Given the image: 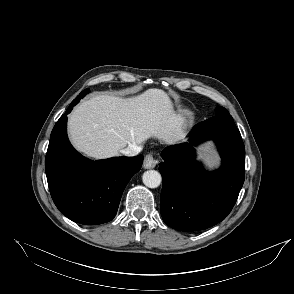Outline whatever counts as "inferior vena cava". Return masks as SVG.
<instances>
[{
    "instance_id": "obj_1",
    "label": "inferior vena cava",
    "mask_w": 294,
    "mask_h": 294,
    "mask_svg": "<svg viewBox=\"0 0 294 294\" xmlns=\"http://www.w3.org/2000/svg\"><path fill=\"white\" fill-rule=\"evenodd\" d=\"M141 149V146L130 144L127 148L121 150L120 152L125 156L133 157L136 156Z\"/></svg>"
}]
</instances>
